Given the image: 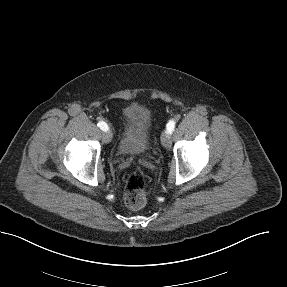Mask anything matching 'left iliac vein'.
Segmentation results:
<instances>
[{
    "instance_id": "4c4485c4",
    "label": "left iliac vein",
    "mask_w": 287,
    "mask_h": 287,
    "mask_svg": "<svg viewBox=\"0 0 287 287\" xmlns=\"http://www.w3.org/2000/svg\"><path fill=\"white\" fill-rule=\"evenodd\" d=\"M161 143L165 148H169L171 146V137L167 131L162 132Z\"/></svg>"
}]
</instances>
